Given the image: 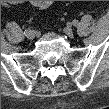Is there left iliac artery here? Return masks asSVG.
Instances as JSON below:
<instances>
[{"label":"left iliac artery","instance_id":"obj_1","mask_svg":"<svg viewBox=\"0 0 109 109\" xmlns=\"http://www.w3.org/2000/svg\"><path fill=\"white\" fill-rule=\"evenodd\" d=\"M73 25L77 26L78 25V21L77 20H73Z\"/></svg>","mask_w":109,"mask_h":109}]
</instances>
